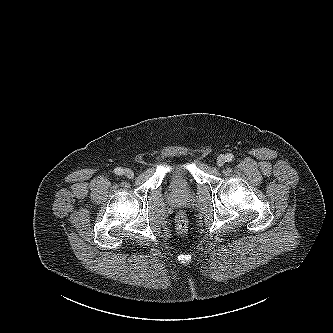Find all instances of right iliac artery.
I'll use <instances>...</instances> for the list:
<instances>
[{
    "instance_id": "right-iliac-artery-1",
    "label": "right iliac artery",
    "mask_w": 333,
    "mask_h": 333,
    "mask_svg": "<svg viewBox=\"0 0 333 333\" xmlns=\"http://www.w3.org/2000/svg\"><path fill=\"white\" fill-rule=\"evenodd\" d=\"M115 174L117 175H123L124 174V170L121 167H117L114 169Z\"/></svg>"
}]
</instances>
